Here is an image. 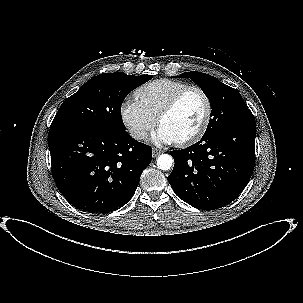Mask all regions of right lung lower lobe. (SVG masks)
<instances>
[{
    "label": "right lung lower lobe",
    "mask_w": 303,
    "mask_h": 303,
    "mask_svg": "<svg viewBox=\"0 0 303 303\" xmlns=\"http://www.w3.org/2000/svg\"><path fill=\"white\" fill-rule=\"evenodd\" d=\"M48 146L58 190L73 206L95 214L124 206L152 158L151 147L126 131L49 130Z\"/></svg>",
    "instance_id": "obj_1"
}]
</instances>
